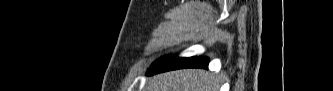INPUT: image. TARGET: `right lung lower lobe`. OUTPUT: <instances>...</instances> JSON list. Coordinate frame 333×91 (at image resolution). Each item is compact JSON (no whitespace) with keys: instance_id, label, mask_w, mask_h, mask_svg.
<instances>
[{"instance_id":"1","label":"right lung lower lobe","mask_w":333,"mask_h":91,"mask_svg":"<svg viewBox=\"0 0 333 91\" xmlns=\"http://www.w3.org/2000/svg\"><path fill=\"white\" fill-rule=\"evenodd\" d=\"M208 62L205 57L171 58L167 56L155 62L150 68L148 75L182 68H207Z\"/></svg>"}]
</instances>
